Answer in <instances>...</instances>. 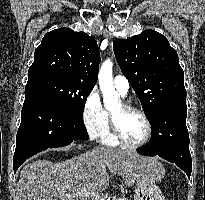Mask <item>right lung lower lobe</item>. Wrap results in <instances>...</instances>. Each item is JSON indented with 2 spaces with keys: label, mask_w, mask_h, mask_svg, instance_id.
<instances>
[{
  "label": "right lung lower lobe",
  "mask_w": 205,
  "mask_h": 200,
  "mask_svg": "<svg viewBox=\"0 0 205 200\" xmlns=\"http://www.w3.org/2000/svg\"><path fill=\"white\" fill-rule=\"evenodd\" d=\"M87 139L83 119L68 112L47 95L27 92L16 136L14 172L25 160L43 150Z\"/></svg>",
  "instance_id": "obj_1"
}]
</instances>
